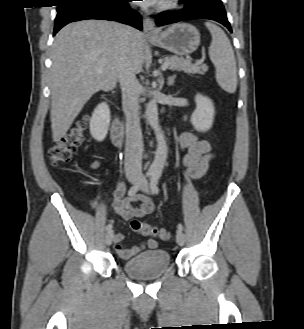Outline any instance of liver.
I'll return each mask as SVG.
<instances>
[{"mask_svg":"<svg viewBox=\"0 0 304 329\" xmlns=\"http://www.w3.org/2000/svg\"><path fill=\"white\" fill-rule=\"evenodd\" d=\"M121 27L115 22L85 20L70 23L57 33L50 70L54 142L66 135L93 94L116 86L122 54ZM129 47L134 72L139 73L144 61V36L133 28Z\"/></svg>","mask_w":304,"mask_h":329,"instance_id":"liver-1","label":"liver"}]
</instances>
